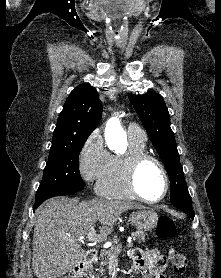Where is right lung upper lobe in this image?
<instances>
[{
    "mask_svg": "<svg viewBox=\"0 0 221 278\" xmlns=\"http://www.w3.org/2000/svg\"><path fill=\"white\" fill-rule=\"evenodd\" d=\"M102 115L98 93L89 84L77 86L68 96L57 120L51 147L87 140Z\"/></svg>",
    "mask_w": 221,
    "mask_h": 278,
    "instance_id": "1",
    "label": "right lung upper lobe"
}]
</instances>
